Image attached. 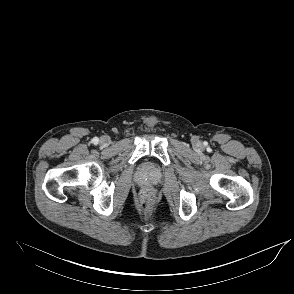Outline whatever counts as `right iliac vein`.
<instances>
[{"label":"right iliac vein","instance_id":"right-iliac-vein-1","mask_svg":"<svg viewBox=\"0 0 294 294\" xmlns=\"http://www.w3.org/2000/svg\"><path fill=\"white\" fill-rule=\"evenodd\" d=\"M99 143L103 147H106V146H108L110 144V139L107 136H103V137L100 138Z\"/></svg>","mask_w":294,"mask_h":294}]
</instances>
